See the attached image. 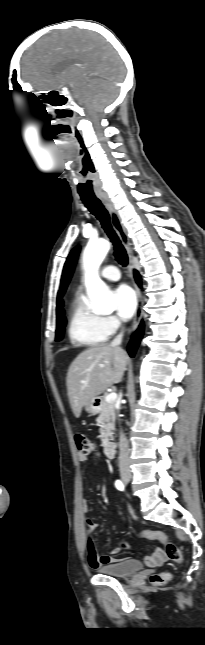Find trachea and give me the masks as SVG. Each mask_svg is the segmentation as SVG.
I'll use <instances>...</instances> for the list:
<instances>
[{
  "instance_id": "1",
  "label": "trachea",
  "mask_w": 205,
  "mask_h": 645,
  "mask_svg": "<svg viewBox=\"0 0 205 645\" xmlns=\"http://www.w3.org/2000/svg\"><path fill=\"white\" fill-rule=\"evenodd\" d=\"M81 200L85 207L101 222L102 228L114 245L116 260L125 267L128 264L126 250L110 224V217L104 205L95 196H81Z\"/></svg>"
}]
</instances>
